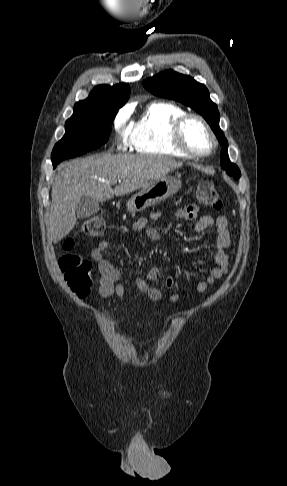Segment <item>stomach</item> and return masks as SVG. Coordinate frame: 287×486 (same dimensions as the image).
Masks as SVG:
<instances>
[{
  "label": "stomach",
  "mask_w": 287,
  "mask_h": 486,
  "mask_svg": "<svg viewBox=\"0 0 287 486\" xmlns=\"http://www.w3.org/2000/svg\"><path fill=\"white\" fill-rule=\"evenodd\" d=\"M181 180L165 176L154 183L143 187L140 192L134 194L126 203L129 212H138L146 207L163 201L175 194L181 188Z\"/></svg>",
  "instance_id": "stomach-1"
}]
</instances>
